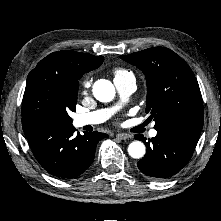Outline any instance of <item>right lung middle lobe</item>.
I'll return each mask as SVG.
<instances>
[{
  "mask_svg": "<svg viewBox=\"0 0 221 221\" xmlns=\"http://www.w3.org/2000/svg\"><path fill=\"white\" fill-rule=\"evenodd\" d=\"M77 93L68 91L60 79L49 76L27 78L22 103V122L49 121L72 125L70 111H75Z\"/></svg>",
  "mask_w": 221,
  "mask_h": 221,
  "instance_id": "right-lung-middle-lobe-1",
  "label": "right lung middle lobe"
}]
</instances>
